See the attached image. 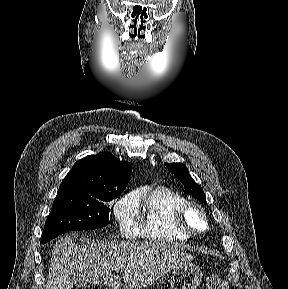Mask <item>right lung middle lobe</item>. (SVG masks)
<instances>
[{
    "mask_svg": "<svg viewBox=\"0 0 288 289\" xmlns=\"http://www.w3.org/2000/svg\"><path fill=\"white\" fill-rule=\"evenodd\" d=\"M122 191L106 190L96 193L58 192L47 218L41 243L71 230H91L109 223L106 202Z\"/></svg>",
    "mask_w": 288,
    "mask_h": 289,
    "instance_id": "right-lung-middle-lobe-1",
    "label": "right lung middle lobe"
}]
</instances>
